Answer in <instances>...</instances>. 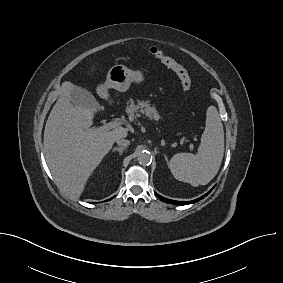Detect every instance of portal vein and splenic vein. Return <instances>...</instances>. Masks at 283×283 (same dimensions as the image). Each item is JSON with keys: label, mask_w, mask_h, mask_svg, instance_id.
Here are the masks:
<instances>
[{"label": "portal vein and splenic vein", "mask_w": 283, "mask_h": 283, "mask_svg": "<svg viewBox=\"0 0 283 283\" xmlns=\"http://www.w3.org/2000/svg\"><path fill=\"white\" fill-rule=\"evenodd\" d=\"M122 125V122L120 121H115V122H107V123H104L103 126L99 127L98 129L100 131H108V130H111V129H114V128H117V127H120ZM193 144H190V150L192 151L193 150Z\"/></svg>", "instance_id": "portal-vein-and-splenic-vein-1"}]
</instances>
